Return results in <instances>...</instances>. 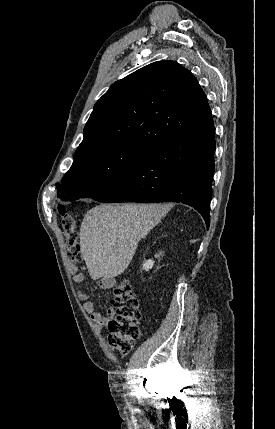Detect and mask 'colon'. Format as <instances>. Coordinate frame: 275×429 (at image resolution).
Instances as JSON below:
<instances>
[{"label":"colon","instance_id":"obj_1","mask_svg":"<svg viewBox=\"0 0 275 429\" xmlns=\"http://www.w3.org/2000/svg\"><path fill=\"white\" fill-rule=\"evenodd\" d=\"M64 234L67 238V255L74 265L82 261L81 246L76 233V222L74 217L62 206L58 208ZM112 304L116 311L115 318L108 324L109 347L121 354L130 353L135 345V341L140 335L138 321L140 318L139 302L133 292L131 284L122 280L118 282L114 289Z\"/></svg>","mask_w":275,"mask_h":429}]
</instances>
